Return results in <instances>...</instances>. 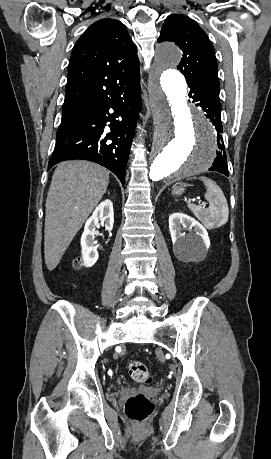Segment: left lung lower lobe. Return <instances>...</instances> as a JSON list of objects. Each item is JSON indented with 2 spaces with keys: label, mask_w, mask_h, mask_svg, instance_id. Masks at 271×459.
<instances>
[{
  "label": "left lung lower lobe",
  "mask_w": 271,
  "mask_h": 459,
  "mask_svg": "<svg viewBox=\"0 0 271 459\" xmlns=\"http://www.w3.org/2000/svg\"><path fill=\"white\" fill-rule=\"evenodd\" d=\"M190 87V98L196 106L206 112V118L215 126L216 131V158L209 170L218 171L228 176L227 157L223 142V129L221 123V104L219 100V89L213 88L210 84L188 85Z\"/></svg>",
  "instance_id": "1"
}]
</instances>
